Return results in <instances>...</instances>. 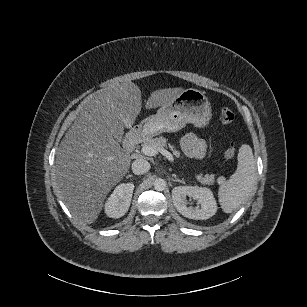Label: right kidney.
I'll list each match as a JSON object with an SVG mask.
<instances>
[{"label":"right kidney","mask_w":307,"mask_h":307,"mask_svg":"<svg viewBox=\"0 0 307 307\" xmlns=\"http://www.w3.org/2000/svg\"><path fill=\"white\" fill-rule=\"evenodd\" d=\"M134 190L133 183L118 185L105 203V213L111 218H120L128 211Z\"/></svg>","instance_id":"ca27d5eb"}]
</instances>
